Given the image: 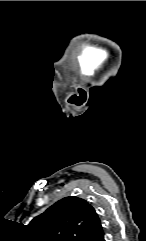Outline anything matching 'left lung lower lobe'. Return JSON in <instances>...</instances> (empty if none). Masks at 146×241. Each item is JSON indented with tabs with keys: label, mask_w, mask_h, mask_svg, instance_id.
Listing matches in <instances>:
<instances>
[{
	"label": "left lung lower lobe",
	"mask_w": 146,
	"mask_h": 241,
	"mask_svg": "<svg viewBox=\"0 0 146 241\" xmlns=\"http://www.w3.org/2000/svg\"><path fill=\"white\" fill-rule=\"evenodd\" d=\"M82 241H105L104 232L102 226H100L95 232L84 237Z\"/></svg>",
	"instance_id": "left-lung-lower-lobe-1"
}]
</instances>
